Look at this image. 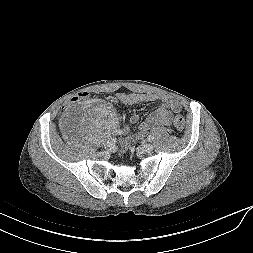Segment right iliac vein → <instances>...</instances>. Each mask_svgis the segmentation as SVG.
Here are the masks:
<instances>
[{
  "instance_id": "63e3f726",
  "label": "right iliac vein",
  "mask_w": 253,
  "mask_h": 253,
  "mask_svg": "<svg viewBox=\"0 0 253 253\" xmlns=\"http://www.w3.org/2000/svg\"><path fill=\"white\" fill-rule=\"evenodd\" d=\"M104 147L105 149L111 150L114 148V143L113 141L109 140L107 142L104 143Z\"/></svg>"
}]
</instances>
